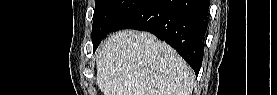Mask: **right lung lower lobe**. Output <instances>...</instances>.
<instances>
[{
    "label": "right lung lower lobe",
    "mask_w": 277,
    "mask_h": 95,
    "mask_svg": "<svg viewBox=\"0 0 277 95\" xmlns=\"http://www.w3.org/2000/svg\"><path fill=\"white\" fill-rule=\"evenodd\" d=\"M209 0H144L110 32L136 29L153 33L173 47L199 73Z\"/></svg>",
    "instance_id": "1"
}]
</instances>
